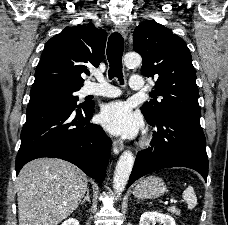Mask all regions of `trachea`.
Segmentation results:
<instances>
[{
  "label": "trachea",
  "instance_id": "obj_1",
  "mask_svg": "<svg viewBox=\"0 0 228 225\" xmlns=\"http://www.w3.org/2000/svg\"><path fill=\"white\" fill-rule=\"evenodd\" d=\"M124 50V40L122 35L114 32L110 35L106 55L109 62V78L117 77L123 83L122 56Z\"/></svg>",
  "mask_w": 228,
  "mask_h": 225
}]
</instances>
